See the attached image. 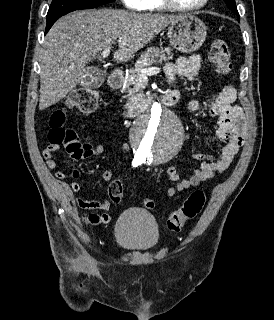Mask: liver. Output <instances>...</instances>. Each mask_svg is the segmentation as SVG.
<instances>
[{
	"mask_svg": "<svg viewBox=\"0 0 274 320\" xmlns=\"http://www.w3.org/2000/svg\"><path fill=\"white\" fill-rule=\"evenodd\" d=\"M180 16L136 14L126 10H81L55 22L40 54L39 110L65 98L83 80L89 64L118 42L116 62H128Z\"/></svg>",
	"mask_w": 274,
	"mask_h": 320,
	"instance_id": "liver-1",
	"label": "liver"
}]
</instances>
